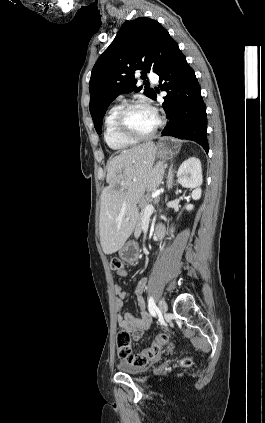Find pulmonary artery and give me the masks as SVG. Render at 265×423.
I'll return each mask as SVG.
<instances>
[{
    "instance_id": "1",
    "label": "pulmonary artery",
    "mask_w": 265,
    "mask_h": 423,
    "mask_svg": "<svg viewBox=\"0 0 265 423\" xmlns=\"http://www.w3.org/2000/svg\"><path fill=\"white\" fill-rule=\"evenodd\" d=\"M149 77L150 79H153V80L157 79V75L155 73H151Z\"/></svg>"
}]
</instances>
